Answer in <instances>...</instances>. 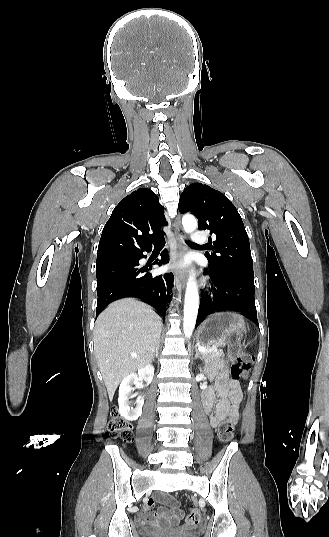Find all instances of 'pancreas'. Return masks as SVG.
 Returning <instances> with one entry per match:
<instances>
[{
  "label": "pancreas",
  "mask_w": 329,
  "mask_h": 537,
  "mask_svg": "<svg viewBox=\"0 0 329 537\" xmlns=\"http://www.w3.org/2000/svg\"><path fill=\"white\" fill-rule=\"evenodd\" d=\"M207 352L202 353V358L207 362H216L224 356L223 351L214 350L213 347H207Z\"/></svg>",
  "instance_id": "1"
}]
</instances>
